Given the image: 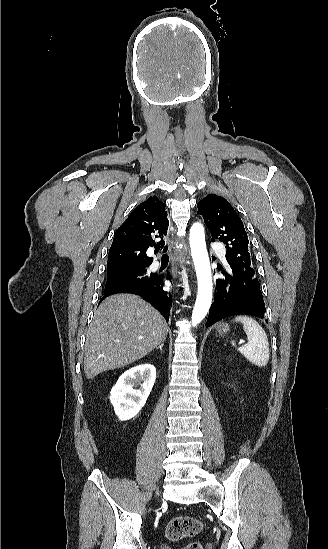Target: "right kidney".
<instances>
[{
  "instance_id": "right-kidney-1",
  "label": "right kidney",
  "mask_w": 328,
  "mask_h": 549,
  "mask_svg": "<svg viewBox=\"0 0 328 549\" xmlns=\"http://www.w3.org/2000/svg\"><path fill=\"white\" fill-rule=\"evenodd\" d=\"M155 379L156 369L149 363L132 367L119 377L111 389L110 401L121 421H128L141 411L152 391ZM137 385H141V389H134Z\"/></svg>"
}]
</instances>
